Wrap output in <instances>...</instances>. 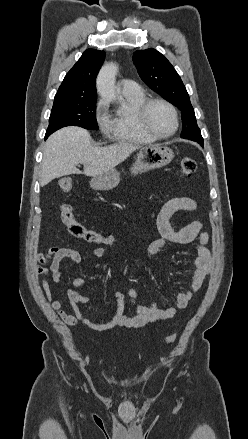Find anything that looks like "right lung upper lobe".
<instances>
[{
  "label": "right lung upper lobe",
  "instance_id": "cb5924a9",
  "mask_svg": "<svg viewBox=\"0 0 248 439\" xmlns=\"http://www.w3.org/2000/svg\"><path fill=\"white\" fill-rule=\"evenodd\" d=\"M104 58V51L87 49L66 74L55 98H97L95 80Z\"/></svg>",
  "mask_w": 248,
  "mask_h": 439
}]
</instances>
